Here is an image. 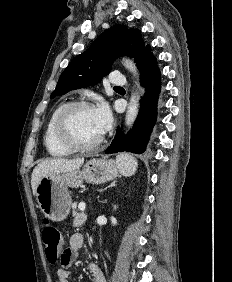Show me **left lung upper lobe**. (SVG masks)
<instances>
[{
    "instance_id": "1",
    "label": "left lung upper lobe",
    "mask_w": 232,
    "mask_h": 282,
    "mask_svg": "<svg viewBox=\"0 0 232 282\" xmlns=\"http://www.w3.org/2000/svg\"><path fill=\"white\" fill-rule=\"evenodd\" d=\"M145 47L140 30L127 29L126 25L113 26L71 61L62 72L51 99L99 83L110 72L112 62L119 56L132 57L137 63Z\"/></svg>"
}]
</instances>
